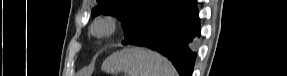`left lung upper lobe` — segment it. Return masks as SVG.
I'll use <instances>...</instances> for the list:
<instances>
[{
    "label": "left lung upper lobe",
    "mask_w": 287,
    "mask_h": 76,
    "mask_svg": "<svg viewBox=\"0 0 287 76\" xmlns=\"http://www.w3.org/2000/svg\"><path fill=\"white\" fill-rule=\"evenodd\" d=\"M185 0H99L92 15L116 16L122 21L125 40L129 44L141 36L162 16L178 9Z\"/></svg>",
    "instance_id": "1"
}]
</instances>
